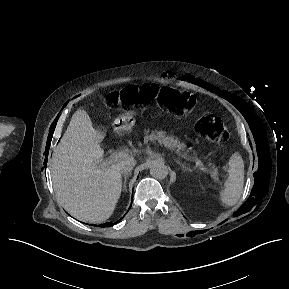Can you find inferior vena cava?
<instances>
[{"label":"inferior vena cava","mask_w":289,"mask_h":289,"mask_svg":"<svg viewBox=\"0 0 289 289\" xmlns=\"http://www.w3.org/2000/svg\"><path fill=\"white\" fill-rule=\"evenodd\" d=\"M136 165V160L133 157L127 158L118 164V169L122 174H128Z\"/></svg>","instance_id":"602c4592"}]
</instances>
